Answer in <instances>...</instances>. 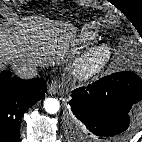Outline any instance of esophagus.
Here are the masks:
<instances>
[{
  "label": "esophagus",
  "instance_id": "obj_1",
  "mask_svg": "<svg viewBox=\"0 0 142 142\" xmlns=\"http://www.w3.org/2000/svg\"><path fill=\"white\" fill-rule=\"evenodd\" d=\"M59 90V85L57 81H52L48 86V92L50 94H56Z\"/></svg>",
  "mask_w": 142,
  "mask_h": 142
}]
</instances>
